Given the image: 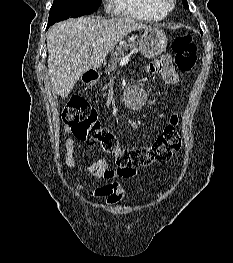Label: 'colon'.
Wrapping results in <instances>:
<instances>
[{
	"instance_id": "5ec220e1",
	"label": "colon",
	"mask_w": 233,
	"mask_h": 263,
	"mask_svg": "<svg viewBox=\"0 0 233 263\" xmlns=\"http://www.w3.org/2000/svg\"><path fill=\"white\" fill-rule=\"evenodd\" d=\"M174 63L182 72H190L196 64V46L189 34L175 37L172 42ZM64 124L82 141L99 144L101 149L115 157L118 171L133 175L140 167L168 161L172 153L181 147L178 116L172 115L163 133L148 146L122 147L114 133L98 120L97 111L85 99L73 97L62 114Z\"/></svg>"
}]
</instances>
